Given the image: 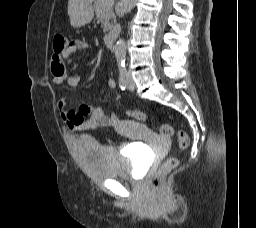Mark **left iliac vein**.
I'll use <instances>...</instances> for the list:
<instances>
[{
  "instance_id": "1",
  "label": "left iliac vein",
  "mask_w": 256,
  "mask_h": 228,
  "mask_svg": "<svg viewBox=\"0 0 256 228\" xmlns=\"http://www.w3.org/2000/svg\"><path fill=\"white\" fill-rule=\"evenodd\" d=\"M127 87L131 91H133L136 87L135 82L130 73H127Z\"/></svg>"
}]
</instances>
